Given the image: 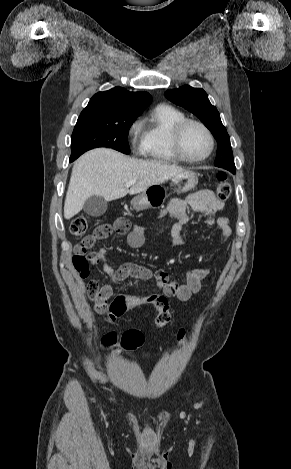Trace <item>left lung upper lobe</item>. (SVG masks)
I'll return each instance as SVG.
<instances>
[{"label": "left lung upper lobe", "mask_w": 291, "mask_h": 469, "mask_svg": "<svg viewBox=\"0 0 291 469\" xmlns=\"http://www.w3.org/2000/svg\"><path fill=\"white\" fill-rule=\"evenodd\" d=\"M167 99L195 114L211 131L217 141V155L214 165L235 174L236 168L230 144V138L223 126L219 112L213 106L207 93L201 88L184 85L165 92Z\"/></svg>", "instance_id": "left-lung-upper-lobe-1"}]
</instances>
